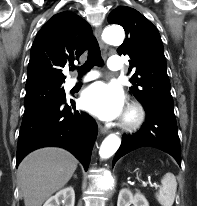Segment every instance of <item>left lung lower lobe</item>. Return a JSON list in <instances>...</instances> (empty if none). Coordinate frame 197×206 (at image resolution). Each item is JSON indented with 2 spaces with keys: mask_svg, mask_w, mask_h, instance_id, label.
I'll return each mask as SVG.
<instances>
[{
  "mask_svg": "<svg viewBox=\"0 0 197 206\" xmlns=\"http://www.w3.org/2000/svg\"><path fill=\"white\" fill-rule=\"evenodd\" d=\"M146 120L132 135H123L113 165L125 154L140 147H155L172 155L181 166L180 142L174 111L165 107H145Z\"/></svg>",
  "mask_w": 197,
  "mask_h": 206,
  "instance_id": "1",
  "label": "left lung lower lobe"
}]
</instances>
